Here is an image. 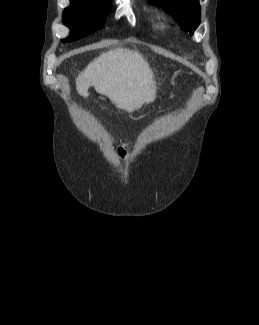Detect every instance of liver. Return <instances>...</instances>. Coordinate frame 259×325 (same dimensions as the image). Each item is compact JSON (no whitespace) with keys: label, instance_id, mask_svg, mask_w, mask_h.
Instances as JSON below:
<instances>
[{"label":"liver","instance_id":"liver-1","mask_svg":"<svg viewBox=\"0 0 259 325\" xmlns=\"http://www.w3.org/2000/svg\"><path fill=\"white\" fill-rule=\"evenodd\" d=\"M107 96L119 109L133 112L156 97L154 74L136 50L116 47L95 58L79 74L76 88L88 97L89 87Z\"/></svg>","mask_w":259,"mask_h":325}]
</instances>
